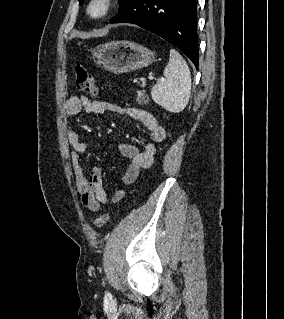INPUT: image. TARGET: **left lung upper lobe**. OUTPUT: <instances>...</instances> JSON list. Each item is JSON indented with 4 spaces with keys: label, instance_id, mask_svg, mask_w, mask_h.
<instances>
[{
    "label": "left lung upper lobe",
    "instance_id": "1",
    "mask_svg": "<svg viewBox=\"0 0 284 319\" xmlns=\"http://www.w3.org/2000/svg\"><path fill=\"white\" fill-rule=\"evenodd\" d=\"M130 0H120V9L119 11H121L129 2ZM84 2V0H79V4L81 5Z\"/></svg>",
    "mask_w": 284,
    "mask_h": 319
}]
</instances>
